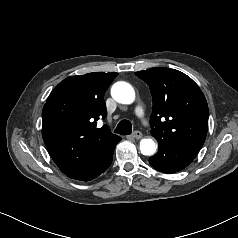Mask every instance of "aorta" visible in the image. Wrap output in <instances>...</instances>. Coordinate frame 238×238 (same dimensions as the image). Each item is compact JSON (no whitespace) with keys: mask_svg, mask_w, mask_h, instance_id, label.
Listing matches in <instances>:
<instances>
[{"mask_svg":"<svg viewBox=\"0 0 238 238\" xmlns=\"http://www.w3.org/2000/svg\"><path fill=\"white\" fill-rule=\"evenodd\" d=\"M111 95L115 101L121 104H131L135 100V91L127 82H116L111 88ZM140 152L143 155L151 156L156 151V144L151 138H143L140 141Z\"/></svg>","mask_w":238,"mask_h":238,"instance_id":"obj_1","label":"aorta"}]
</instances>
